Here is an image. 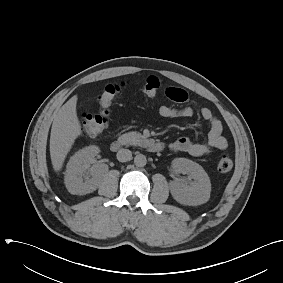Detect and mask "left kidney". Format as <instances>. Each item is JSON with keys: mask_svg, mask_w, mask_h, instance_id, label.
Listing matches in <instances>:
<instances>
[{"mask_svg": "<svg viewBox=\"0 0 283 283\" xmlns=\"http://www.w3.org/2000/svg\"><path fill=\"white\" fill-rule=\"evenodd\" d=\"M172 167L175 172L188 174L193 179L190 186L178 181L170 182L171 194L177 202L196 206L209 200L211 183L202 166L186 158H175Z\"/></svg>", "mask_w": 283, "mask_h": 283, "instance_id": "5707ae66", "label": "left kidney"}]
</instances>
